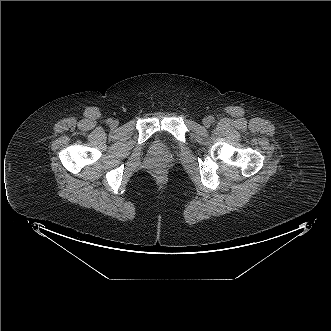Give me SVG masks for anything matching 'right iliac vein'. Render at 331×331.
I'll return each instance as SVG.
<instances>
[{
	"mask_svg": "<svg viewBox=\"0 0 331 331\" xmlns=\"http://www.w3.org/2000/svg\"><path fill=\"white\" fill-rule=\"evenodd\" d=\"M111 126L112 127H117L118 126V122L116 120L112 121Z\"/></svg>",
	"mask_w": 331,
	"mask_h": 331,
	"instance_id": "63e3f726",
	"label": "right iliac vein"
}]
</instances>
